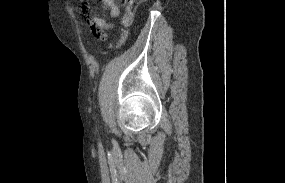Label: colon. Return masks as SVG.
Masks as SVG:
<instances>
[{"label":"colon","mask_w":285,"mask_h":183,"mask_svg":"<svg viewBox=\"0 0 285 183\" xmlns=\"http://www.w3.org/2000/svg\"><path fill=\"white\" fill-rule=\"evenodd\" d=\"M123 6H124V15L122 19V26L123 31L121 34V38L118 43L115 45H112L111 49H118L120 48L124 42L126 41L128 37V31L133 23L134 19V8H133V0H121ZM107 52H103V54H106Z\"/></svg>","instance_id":"5ec220e1"}]
</instances>
